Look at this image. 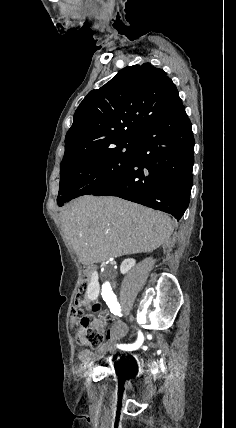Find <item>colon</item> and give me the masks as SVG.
<instances>
[{
	"label": "colon",
	"instance_id": "1",
	"mask_svg": "<svg viewBox=\"0 0 236 428\" xmlns=\"http://www.w3.org/2000/svg\"><path fill=\"white\" fill-rule=\"evenodd\" d=\"M88 284V278H83L77 289L76 303L70 318L72 325L76 327V342L90 349H98L104 338V329L102 320L98 316L100 305L88 303L86 295ZM84 309H88L90 314L85 315Z\"/></svg>",
	"mask_w": 236,
	"mask_h": 428
}]
</instances>
